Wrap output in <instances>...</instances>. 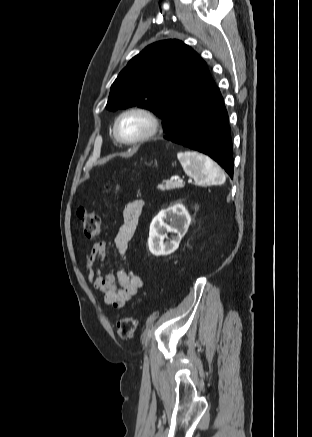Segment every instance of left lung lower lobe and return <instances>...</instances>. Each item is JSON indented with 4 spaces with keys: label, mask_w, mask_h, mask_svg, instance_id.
I'll return each instance as SVG.
<instances>
[{
    "label": "left lung lower lobe",
    "mask_w": 312,
    "mask_h": 437,
    "mask_svg": "<svg viewBox=\"0 0 312 437\" xmlns=\"http://www.w3.org/2000/svg\"><path fill=\"white\" fill-rule=\"evenodd\" d=\"M165 139L210 156L233 177L234 161L228 114L217 86Z\"/></svg>",
    "instance_id": "1"
}]
</instances>
